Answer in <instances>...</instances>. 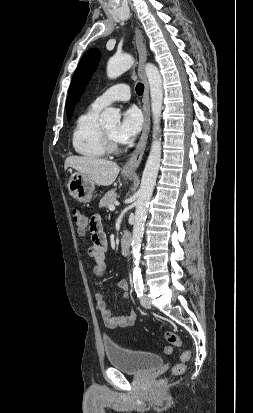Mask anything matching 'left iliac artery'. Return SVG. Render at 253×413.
Listing matches in <instances>:
<instances>
[{"mask_svg": "<svg viewBox=\"0 0 253 413\" xmlns=\"http://www.w3.org/2000/svg\"><path fill=\"white\" fill-rule=\"evenodd\" d=\"M133 282H134V288H135L138 298H142L144 295V285H143L141 273H137L133 275Z\"/></svg>", "mask_w": 253, "mask_h": 413, "instance_id": "left-iliac-artery-1", "label": "left iliac artery"}]
</instances>
